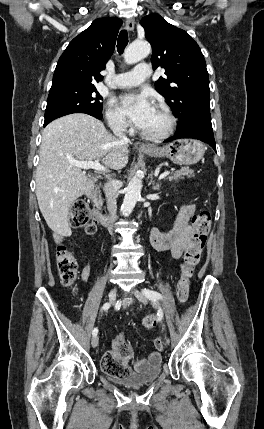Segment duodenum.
Listing matches in <instances>:
<instances>
[{"label":"duodenum","mask_w":264,"mask_h":429,"mask_svg":"<svg viewBox=\"0 0 264 429\" xmlns=\"http://www.w3.org/2000/svg\"><path fill=\"white\" fill-rule=\"evenodd\" d=\"M85 195L91 200V202H92V204L94 206V209H95V213H94L95 220L98 223H100L101 225L108 226L109 223H110V221L108 219L111 217V215L104 214V213H102L100 211V204H99V202L97 201V199L95 197L94 180L93 179H90L87 182L86 189H85Z\"/></svg>","instance_id":"1"}]
</instances>
